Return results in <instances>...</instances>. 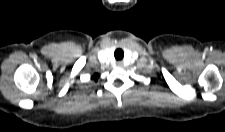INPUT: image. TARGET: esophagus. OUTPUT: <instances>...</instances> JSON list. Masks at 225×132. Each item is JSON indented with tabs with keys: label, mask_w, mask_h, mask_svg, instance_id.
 <instances>
[{
	"label": "esophagus",
	"mask_w": 225,
	"mask_h": 132,
	"mask_svg": "<svg viewBox=\"0 0 225 132\" xmlns=\"http://www.w3.org/2000/svg\"><path fill=\"white\" fill-rule=\"evenodd\" d=\"M117 64H118V66H119V67H121V66H122V62H118Z\"/></svg>",
	"instance_id": "1"
}]
</instances>
